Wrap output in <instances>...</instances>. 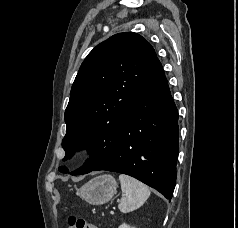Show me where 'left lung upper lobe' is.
Segmentation results:
<instances>
[{
    "label": "left lung upper lobe",
    "mask_w": 238,
    "mask_h": 228,
    "mask_svg": "<svg viewBox=\"0 0 238 228\" xmlns=\"http://www.w3.org/2000/svg\"><path fill=\"white\" fill-rule=\"evenodd\" d=\"M157 60L155 50L137 33L113 35L85 58L65 110V158L80 148L90 151L86 163L71 174L85 173L115 152L118 132L130 114ZM67 173L66 167H59Z\"/></svg>",
    "instance_id": "left-lung-upper-lobe-1"
}]
</instances>
